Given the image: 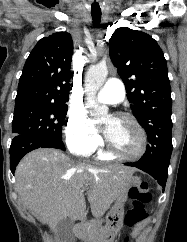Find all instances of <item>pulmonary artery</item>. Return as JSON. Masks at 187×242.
Wrapping results in <instances>:
<instances>
[{"mask_svg":"<svg viewBox=\"0 0 187 242\" xmlns=\"http://www.w3.org/2000/svg\"><path fill=\"white\" fill-rule=\"evenodd\" d=\"M125 90L123 83L115 78L108 79L97 94V101L103 104H118L123 101Z\"/></svg>","mask_w":187,"mask_h":242,"instance_id":"e3ab8cb5","label":"pulmonary artery"}]
</instances>
